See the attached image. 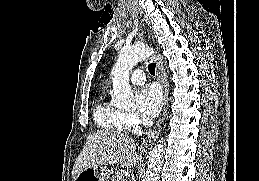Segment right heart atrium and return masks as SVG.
<instances>
[{"mask_svg":"<svg viewBox=\"0 0 259 181\" xmlns=\"http://www.w3.org/2000/svg\"><path fill=\"white\" fill-rule=\"evenodd\" d=\"M125 121L129 129H135L138 125L136 116L131 113H125Z\"/></svg>","mask_w":259,"mask_h":181,"instance_id":"obj_1","label":"right heart atrium"}]
</instances>
